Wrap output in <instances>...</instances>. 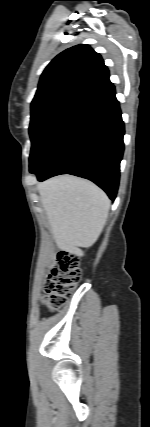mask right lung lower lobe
Segmentation results:
<instances>
[{
  "label": "right lung lower lobe",
  "mask_w": 150,
  "mask_h": 427,
  "mask_svg": "<svg viewBox=\"0 0 150 427\" xmlns=\"http://www.w3.org/2000/svg\"><path fill=\"white\" fill-rule=\"evenodd\" d=\"M124 123L115 89L80 108L52 144L34 174L89 179L115 199L124 144Z\"/></svg>",
  "instance_id": "right-lung-lower-lobe-1"
}]
</instances>
